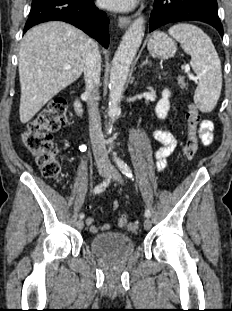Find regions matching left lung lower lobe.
Masks as SVG:
<instances>
[{"mask_svg": "<svg viewBox=\"0 0 232 311\" xmlns=\"http://www.w3.org/2000/svg\"><path fill=\"white\" fill-rule=\"evenodd\" d=\"M192 20L212 25L223 37L216 0H154L150 32L168 23Z\"/></svg>", "mask_w": 232, "mask_h": 311, "instance_id": "1", "label": "left lung lower lobe"}]
</instances>
